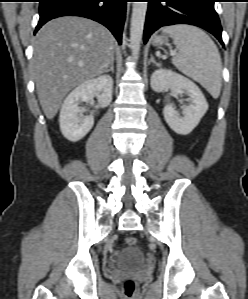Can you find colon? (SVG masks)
Listing matches in <instances>:
<instances>
[{
	"label": "colon",
	"mask_w": 248,
	"mask_h": 299,
	"mask_svg": "<svg viewBox=\"0 0 248 299\" xmlns=\"http://www.w3.org/2000/svg\"><path fill=\"white\" fill-rule=\"evenodd\" d=\"M125 243L128 246H135L137 243V238L134 236H127L125 238ZM138 285L133 279H127L123 283V290L126 296L131 297L133 296L137 291Z\"/></svg>",
	"instance_id": "5ec220e1"
}]
</instances>
